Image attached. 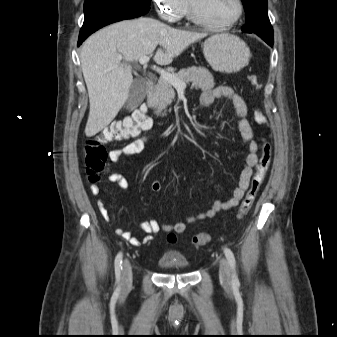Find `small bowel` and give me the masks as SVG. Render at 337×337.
<instances>
[{
	"mask_svg": "<svg viewBox=\"0 0 337 337\" xmlns=\"http://www.w3.org/2000/svg\"><path fill=\"white\" fill-rule=\"evenodd\" d=\"M226 99L233 108L234 115L238 119V130L242 139L247 144L248 153L245 158V165L239 175L237 187L233 190L232 196L228 200H215L212 205L204 212L196 216H188L185 222L174 223H160L156 219L146 220L140 223V229L145 234L143 237H136L131 232L122 228L115 230L116 235L127 240L133 246H141L151 243L153 241V234L158 232H176L183 233L187 229L188 224L196 221L214 217L218 212L228 210L237 206L244 197L253 174V169L258 162L257 150L258 146L254 140V133L252 127L247 120L248 107L245 99L235 92V90L227 85H220L213 89L205 90L200 98V106L202 108L210 107L216 100ZM151 138V135H143L135 138L128 144L115 148L109 151L108 158L112 163L119 162L123 157L132 156L141 153L144 149L145 143ZM110 183L117 185L120 189L126 190L129 186L127 179L118 172H111L107 176ZM151 189L154 192H159L162 189V184L159 180L151 183ZM90 191L93 195H99L101 188L98 183H92ZM98 209L102 217L107 222L115 220L114 215L106 208L102 199L97 201Z\"/></svg>",
	"mask_w": 337,
	"mask_h": 337,
	"instance_id": "small-bowel-1",
	"label": "small bowel"
}]
</instances>
